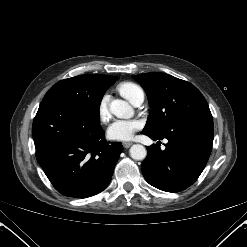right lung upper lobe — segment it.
I'll return each instance as SVG.
<instances>
[{"instance_id": "right-lung-upper-lobe-1", "label": "right lung upper lobe", "mask_w": 247, "mask_h": 247, "mask_svg": "<svg viewBox=\"0 0 247 247\" xmlns=\"http://www.w3.org/2000/svg\"><path fill=\"white\" fill-rule=\"evenodd\" d=\"M96 77L105 85H109V87L116 81L115 77L109 75H101L95 74Z\"/></svg>"}]
</instances>
